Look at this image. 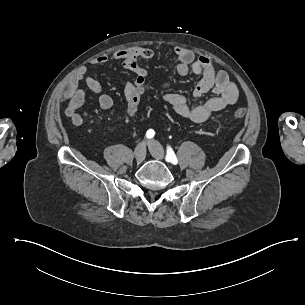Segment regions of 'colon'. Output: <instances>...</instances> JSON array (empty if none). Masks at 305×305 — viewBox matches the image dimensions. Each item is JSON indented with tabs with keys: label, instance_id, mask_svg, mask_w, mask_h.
Instances as JSON below:
<instances>
[{
	"label": "colon",
	"instance_id": "5ec220e1",
	"mask_svg": "<svg viewBox=\"0 0 305 305\" xmlns=\"http://www.w3.org/2000/svg\"><path fill=\"white\" fill-rule=\"evenodd\" d=\"M136 92H131L129 94L130 101L127 103V106L129 108L137 109L139 107V102L137 100H140L142 98V94L141 93L143 92V88L141 86H138L136 88ZM246 113H247V110L245 108H237L233 112V116L235 118H241V117H244L246 115ZM127 116L129 118H132L134 116V112L132 110H129L127 112Z\"/></svg>",
	"mask_w": 305,
	"mask_h": 305
}]
</instances>
